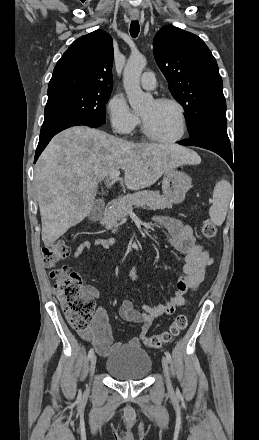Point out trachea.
<instances>
[{"instance_id": "obj_1", "label": "trachea", "mask_w": 259, "mask_h": 440, "mask_svg": "<svg viewBox=\"0 0 259 440\" xmlns=\"http://www.w3.org/2000/svg\"><path fill=\"white\" fill-rule=\"evenodd\" d=\"M140 26L138 20L131 21L130 25V35L136 38L139 34Z\"/></svg>"}]
</instances>
